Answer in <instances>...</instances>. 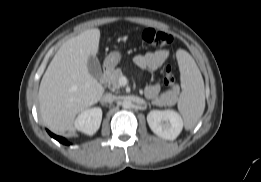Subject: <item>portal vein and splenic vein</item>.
I'll list each match as a JSON object with an SVG mask.
<instances>
[{
  "mask_svg": "<svg viewBox=\"0 0 261 182\" xmlns=\"http://www.w3.org/2000/svg\"><path fill=\"white\" fill-rule=\"evenodd\" d=\"M120 80H125V78H124V77H121Z\"/></svg>",
  "mask_w": 261,
  "mask_h": 182,
  "instance_id": "18ae733b",
  "label": "portal vein and splenic vein"
}]
</instances>
